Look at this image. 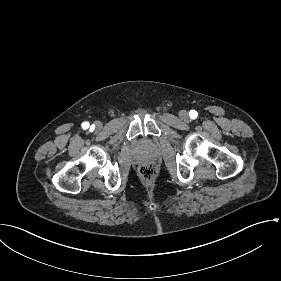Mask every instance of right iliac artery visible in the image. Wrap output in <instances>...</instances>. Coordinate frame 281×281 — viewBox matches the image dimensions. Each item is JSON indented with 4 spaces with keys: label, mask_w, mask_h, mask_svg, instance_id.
<instances>
[{
    "label": "right iliac artery",
    "mask_w": 281,
    "mask_h": 281,
    "mask_svg": "<svg viewBox=\"0 0 281 281\" xmlns=\"http://www.w3.org/2000/svg\"><path fill=\"white\" fill-rule=\"evenodd\" d=\"M82 127H83L84 129H87V128L89 127V123H88V122H84V123L82 124Z\"/></svg>",
    "instance_id": "1"
}]
</instances>
